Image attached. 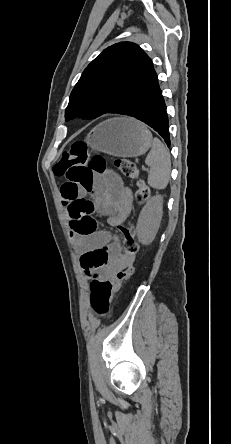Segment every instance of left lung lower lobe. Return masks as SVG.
I'll list each match as a JSON object with an SVG mask.
<instances>
[{
	"mask_svg": "<svg viewBox=\"0 0 231 444\" xmlns=\"http://www.w3.org/2000/svg\"><path fill=\"white\" fill-rule=\"evenodd\" d=\"M117 114L132 116L146 123L164 138L168 147L170 146L166 105L154 68L123 103Z\"/></svg>",
	"mask_w": 231,
	"mask_h": 444,
	"instance_id": "obj_1",
	"label": "left lung lower lobe"
}]
</instances>
